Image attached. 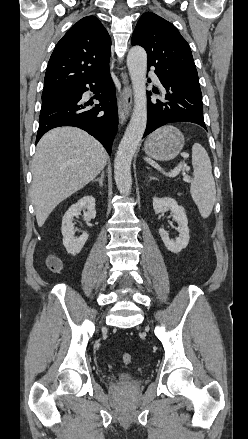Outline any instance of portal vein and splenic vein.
<instances>
[{"label":"portal vein and splenic vein","mask_w":248,"mask_h":439,"mask_svg":"<svg viewBox=\"0 0 248 439\" xmlns=\"http://www.w3.org/2000/svg\"><path fill=\"white\" fill-rule=\"evenodd\" d=\"M186 170V171H188L190 168L188 167V166H183L182 164H179L177 167H175L172 171H171V173H170V175L171 176H175V175H177L181 170ZM184 180L185 181H189V179H188V177L187 176H185L184 177Z\"/></svg>","instance_id":"18ae733b"}]
</instances>
